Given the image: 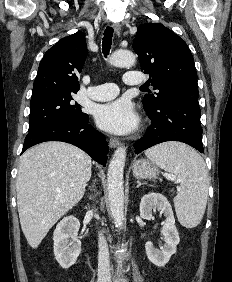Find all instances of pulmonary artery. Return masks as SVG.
I'll use <instances>...</instances> for the list:
<instances>
[{"mask_svg":"<svg viewBox=\"0 0 232 282\" xmlns=\"http://www.w3.org/2000/svg\"><path fill=\"white\" fill-rule=\"evenodd\" d=\"M125 84L129 86L141 85L144 82L142 75L136 71H128L123 78ZM88 96L95 101H108L114 99L119 88L114 83H104L97 86H92L88 89Z\"/></svg>","mask_w":232,"mask_h":282,"instance_id":"obj_1","label":"pulmonary artery"}]
</instances>
